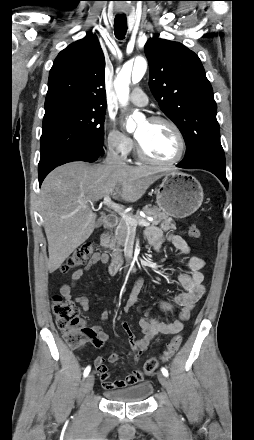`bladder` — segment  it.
<instances>
[{"mask_svg":"<svg viewBox=\"0 0 254 440\" xmlns=\"http://www.w3.org/2000/svg\"><path fill=\"white\" fill-rule=\"evenodd\" d=\"M152 392V384L150 382L143 381L129 387L105 391L104 394L112 401L133 403L144 401L152 394Z\"/></svg>","mask_w":254,"mask_h":440,"instance_id":"bladder-1","label":"bladder"}]
</instances>
